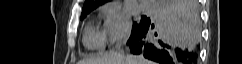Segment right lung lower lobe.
<instances>
[{
    "label": "right lung lower lobe",
    "mask_w": 242,
    "mask_h": 64,
    "mask_svg": "<svg viewBox=\"0 0 242 64\" xmlns=\"http://www.w3.org/2000/svg\"><path fill=\"white\" fill-rule=\"evenodd\" d=\"M157 38L148 37L154 24L129 39L133 54L160 64H196L200 41L199 7L196 0H157Z\"/></svg>",
    "instance_id": "98d812e1"
}]
</instances>
